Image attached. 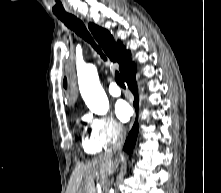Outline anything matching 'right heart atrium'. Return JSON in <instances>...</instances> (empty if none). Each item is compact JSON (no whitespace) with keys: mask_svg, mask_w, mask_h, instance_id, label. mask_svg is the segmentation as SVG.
I'll list each match as a JSON object with an SVG mask.
<instances>
[{"mask_svg":"<svg viewBox=\"0 0 221 193\" xmlns=\"http://www.w3.org/2000/svg\"><path fill=\"white\" fill-rule=\"evenodd\" d=\"M87 121L92 136L103 147L116 143L124 136L123 125L112 116H90Z\"/></svg>","mask_w":221,"mask_h":193,"instance_id":"right-heart-atrium-1","label":"right heart atrium"}]
</instances>
